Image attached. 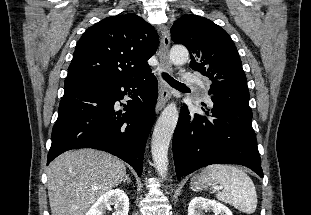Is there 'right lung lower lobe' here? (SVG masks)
<instances>
[{
	"label": "right lung lower lobe",
	"instance_id": "1",
	"mask_svg": "<svg viewBox=\"0 0 311 215\" xmlns=\"http://www.w3.org/2000/svg\"><path fill=\"white\" fill-rule=\"evenodd\" d=\"M64 86L47 165L67 150L94 148L121 158L140 176L158 96L153 74L129 81L93 79ZM124 95L132 100L121 111L116 102Z\"/></svg>",
	"mask_w": 311,
	"mask_h": 215
}]
</instances>
